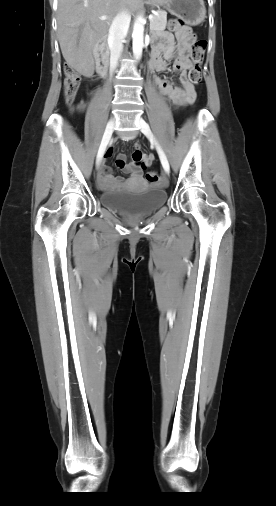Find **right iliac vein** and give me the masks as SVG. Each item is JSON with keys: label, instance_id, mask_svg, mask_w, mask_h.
<instances>
[{"label": "right iliac vein", "instance_id": "1", "mask_svg": "<svg viewBox=\"0 0 276 506\" xmlns=\"http://www.w3.org/2000/svg\"><path fill=\"white\" fill-rule=\"evenodd\" d=\"M114 127H115V120H114V118H111L106 126V129H105V132H104V135H103V138H102L99 150H98L97 159H96V162L98 165L103 157V154L105 152V148L112 136V133L114 131Z\"/></svg>", "mask_w": 276, "mask_h": 506}]
</instances>
